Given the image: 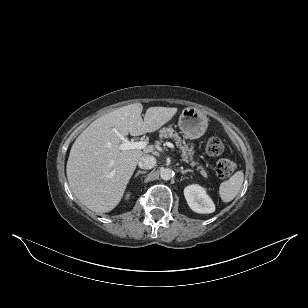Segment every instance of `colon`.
Wrapping results in <instances>:
<instances>
[{"label": "colon", "mask_w": 308, "mask_h": 308, "mask_svg": "<svg viewBox=\"0 0 308 308\" xmlns=\"http://www.w3.org/2000/svg\"><path fill=\"white\" fill-rule=\"evenodd\" d=\"M206 150L210 155H220L224 150V144L220 138L210 137L207 141ZM234 169V162L228 158H222L216 164V174L222 179L229 177Z\"/></svg>", "instance_id": "5ec220e1"}]
</instances>
